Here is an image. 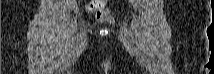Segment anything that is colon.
I'll return each instance as SVG.
<instances>
[{
  "mask_svg": "<svg viewBox=\"0 0 214 74\" xmlns=\"http://www.w3.org/2000/svg\"><path fill=\"white\" fill-rule=\"evenodd\" d=\"M107 0H95L89 2L87 5V10L88 11H95L96 12V19L100 22L103 21H110L111 20V15L110 12L107 8Z\"/></svg>",
  "mask_w": 214,
  "mask_h": 74,
  "instance_id": "obj_1",
  "label": "colon"
}]
</instances>
